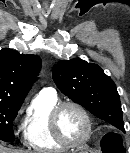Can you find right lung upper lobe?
<instances>
[{"instance_id": "cb5924a9", "label": "right lung upper lobe", "mask_w": 130, "mask_h": 153, "mask_svg": "<svg viewBox=\"0 0 130 153\" xmlns=\"http://www.w3.org/2000/svg\"><path fill=\"white\" fill-rule=\"evenodd\" d=\"M39 56L0 50V102L22 104L41 68Z\"/></svg>"}]
</instances>
